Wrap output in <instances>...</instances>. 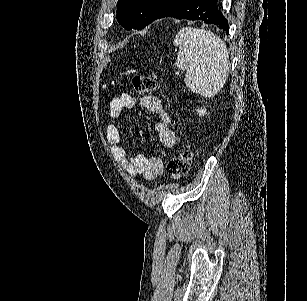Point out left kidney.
Listing matches in <instances>:
<instances>
[{"label":"left kidney","mask_w":307,"mask_h":301,"mask_svg":"<svg viewBox=\"0 0 307 301\" xmlns=\"http://www.w3.org/2000/svg\"><path fill=\"white\" fill-rule=\"evenodd\" d=\"M196 110L199 116H204V114H206V108H196Z\"/></svg>","instance_id":"1"}]
</instances>
